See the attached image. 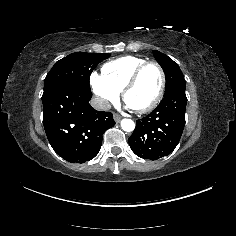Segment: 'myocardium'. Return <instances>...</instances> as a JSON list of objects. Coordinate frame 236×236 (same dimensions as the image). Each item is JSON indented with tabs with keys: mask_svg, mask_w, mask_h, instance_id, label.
I'll return each instance as SVG.
<instances>
[{
	"mask_svg": "<svg viewBox=\"0 0 236 236\" xmlns=\"http://www.w3.org/2000/svg\"><path fill=\"white\" fill-rule=\"evenodd\" d=\"M148 66H155L158 69V71L160 73V85H159L158 92L151 103H149L147 106H145L143 108H139V109L133 108L134 111H136L137 113H140V114L147 113V112L153 110L155 107L158 106V104L161 102V100L163 98L164 91L166 88V73H165V70L163 69V67L156 61H146V62L142 63L133 71V73L131 74V76L127 80V82L122 90V97H123V100L126 102L127 93L136 84L142 71L145 68H147Z\"/></svg>",
	"mask_w": 236,
	"mask_h": 236,
	"instance_id": "obj_1",
	"label": "myocardium"
}]
</instances>
